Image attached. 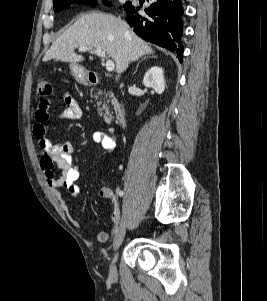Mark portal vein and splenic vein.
I'll return each mask as SVG.
<instances>
[{
  "instance_id": "portal-vein-and-splenic-vein-1",
  "label": "portal vein and splenic vein",
  "mask_w": 267,
  "mask_h": 301,
  "mask_svg": "<svg viewBox=\"0 0 267 301\" xmlns=\"http://www.w3.org/2000/svg\"><path fill=\"white\" fill-rule=\"evenodd\" d=\"M87 50H90V48L85 47V46L79 47V51H81V52H84V51H87ZM94 53L96 55L100 56L101 58H106L105 52L102 51L101 49H95ZM114 67H115L114 62L111 61L110 59H107V61H106V70L111 72V71L114 70Z\"/></svg>"
}]
</instances>
